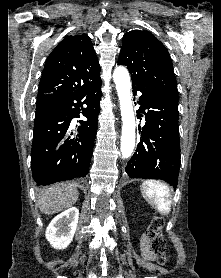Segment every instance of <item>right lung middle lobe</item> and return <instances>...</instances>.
<instances>
[{
	"label": "right lung middle lobe",
	"mask_w": 221,
	"mask_h": 278,
	"mask_svg": "<svg viewBox=\"0 0 221 278\" xmlns=\"http://www.w3.org/2000/svg\"><path fill=\"white\" fill-rule=\"evenodd\" d=\"M47 111L48 110L43 108V107H36V114H35V116H39V115H41V114H43V113H45Z\"/></svg>",
	"instance_id": "1"
}]
</instances>
